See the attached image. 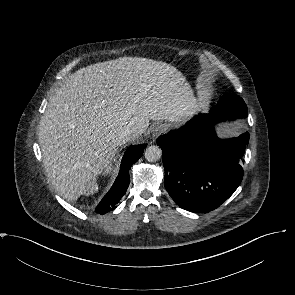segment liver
<instances>
[{
    "instance_id": "obj_1",
    "label": "liver",
    "mask_w": 295,
    "mask_h": 295,
    "mask_svg": "<svg viewBox=\"0 0 295 295\" xmlns=\"http://www.w3.org/2000/svg\"><path fill=\"white\" fill-rule=\"evenodd\" d=\"M203 107L186 77L165 62L120 57L83 67L50 98L39 125L48 177L67 201L94 194L124 130H136L137 139L150 120L185 122Z\"/></svg>"
}]
</instances>
